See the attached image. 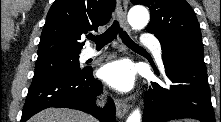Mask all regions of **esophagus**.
<instances>
[{"label":"esophagus","instance_id":"obj_1","mask_svg":"<svg viewBox=\"0 0 221 122\" xmlns=\"http://www.w3.org/2000/svg\"><path fill=\"white\" fill-rule=\"evenodd\" d=\"M117 6H118V19L120 21V25H121L122 29L129 34L130 27L127 22V1L118 0ZM122 49H124L123 46H122ZM114 103L116 106V111H117L118 117L123 118L126 115V113L128 112L129 107H128L127 102L122 99H114Z\"/></svg>","mask_w":221,"mask_h":122}]
</instances>
